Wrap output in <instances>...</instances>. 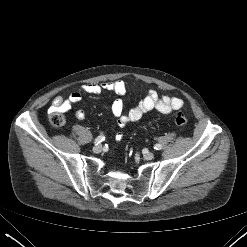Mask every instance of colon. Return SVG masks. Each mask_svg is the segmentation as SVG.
<instances>
[{
  "instance_id": "colon-1",
  "label": "colon",
  "mask_w": 247,
  "mask_h": 247,
  "mask_svg": "<svg viewBox=\"0 0 247 247\" xmlns=\"http://www.w3.org/2000/svg\"><path fill=\"white\" fill-rule=\"evenodd\" d=\"M49 120L54 127H62L66 122V117L62 111L53 110L49 114ZM174 123L179 127H183L187 124V119L182 113H177L174 117ZM115 138L120 141L122 134L117 133Z\"/></svg>"
}]
</instances>
